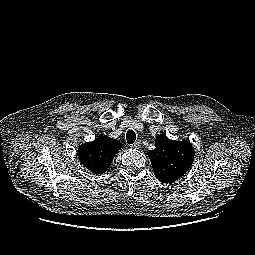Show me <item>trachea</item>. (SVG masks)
Instances as JSON below:
<instances>
[{"instance_id": "obj_1", "label": "trachea", "mask_w": 255, "mask_h": 255, "mask_svg": "<svg viewBox=\"0 0 255 255\" xmlns=\"http://www.w3.org/2000/svg\"><path fill=\"white\" fill-rule=\"evenodd\" d=\"M126 140L128 144H133L136 140V134L133 130H128L126 134Z\"/></svg>"}]
</instances>
